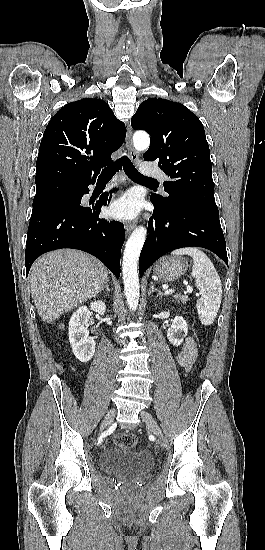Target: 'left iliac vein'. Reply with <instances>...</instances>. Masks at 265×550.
<instances>
[{"label": "left iliac vein", "instance_id": "left-iliac-vein-1", "mask_svg": "<svg viewBox=\"0 0 265 550\" xmlns=\"http://www.w3.org/2000/svg\"><path fill=\"white\" fill-rule=\"evenodd\" d=\"M141 417L143 418V420L146 422L147 426L150 428V430L152 431V433L159 437V438H162V433H161V430L157 424V422L155 421V419L153 418V416L146 410H143L141 412Z\"/></svg>", "mask_w": 265, "mask_h": 550}]
</instances>
